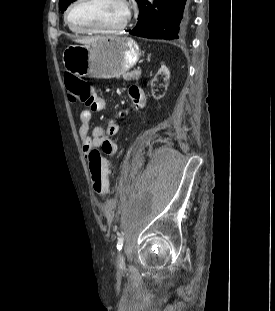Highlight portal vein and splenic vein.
Returning a JSON list of instances; mask_svg holds the SVG:
<instances>
[{"mask_svg":"<svg viewBox=\"0 0 275 311\" xmlns=\"http://www.w3.org/2000/svg\"><path fill=\"white\" fill-rule=\"evenodd\" d=\"M137 71L141 73V70H140V68H138V69H137Z\"/></svg>","mask_w":275,"mask_h":311,"instance_id":"portal-vein-and-splenic-vein-1","label":"portal vein and splenic vein"}]
</instances>
